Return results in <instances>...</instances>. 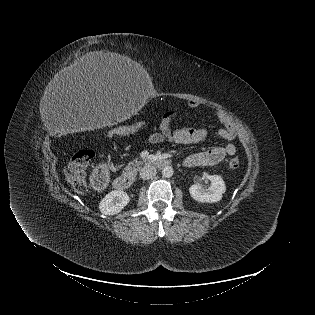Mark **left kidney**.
I'll return each instance as SVG.
<instances>
[{
    "label": "left kidney",
    "instance_id": "1",
    "mask_svg": "<svg viewBox=\"0 0 315 315\" xmlns=\"http://www.w3.org/2000/svg\"><path fill=\"white\" fill-rule=\"evenodd\" d=\"M206 177L211 181L208 189L202 188L198 184H194L189 188L191 197L202 203H215L222 199V195L226 191L225 183L219 175H208Z\"/></svg>",
    "mask_w": 315,
    "mask_h": 315
}]
</instances>
